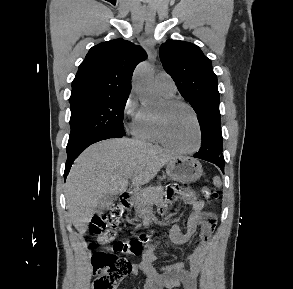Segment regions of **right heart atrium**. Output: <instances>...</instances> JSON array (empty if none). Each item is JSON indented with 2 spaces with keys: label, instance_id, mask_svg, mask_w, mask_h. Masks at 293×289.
<instances>
[{
  "label": "right heart atrium",
  "instance_id": "1",
  "mask_svg": "<svg viewBox=\"0 0 293 289\" xmlns=\"http://www.w3.org/2000/svg\"><path fill=\"white\" fill-rule=\"evenodd\" d=\"M142 113L143 107L140 105L135 93L131 92L126 98L122 108L123 118L127 121L126 127L130 132H134Z\"/></svg>",
  "mask_w": 293,
  "mask_h": 289
}]
</instances>
